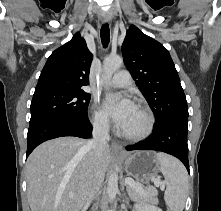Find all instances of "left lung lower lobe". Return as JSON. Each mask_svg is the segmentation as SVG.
Wrapping results in <instances>:
<instances>
[{
	"instance_id": "0a47b994",
	"label": "left lung lower lobe",
	"mask_w": 221,
	"mask_h": 211,
	"mask_svg": "<svg viewBox=\"0 0 221 211\" xmlns=\"http://www.w3.org/2000/svg\"><path fill=\"white\" fill-rule=\"evenodd\" d=\"M188 117L169 119L154 126V131L146 140L126 147V150H156L177 157L189 172L188 162Z\"/></svg>"
}]
</instances>
